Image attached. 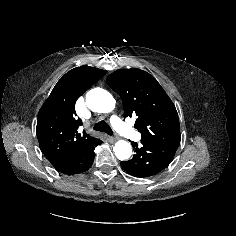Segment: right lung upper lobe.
<instances>
[{"instance_id": "1", "label": "right lung upper lobe", "mask_w": 236, "mask_h": 236, "mask_svg": "<svg viewBox=\"0 0 236 236\" xmlns=\"http://www.w3.org/2000/svg\"><path fill=\"white\" fill-rule=\"evenodd\" d=\"M105 74V70L88 66L70 70L57 82L40 108L36 133L40 149L50 162L76 153L98 140L85 131L78 132L82 121L75 117V103Z\"/></svg>"}]
</instances>
